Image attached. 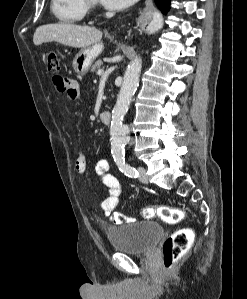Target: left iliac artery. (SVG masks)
<instances>
[{"label":"left iliac artery","mask_w":247,"mask_h":299,"mask_svg":"<svg viewBox=\"0 0 247 299\" xmlns=\"http://www.w3.org/2000/svg\"><path fill=\"white\" fill-rule=\"evenodd\" d=\"M114 161L116 162L120 171H122L126 176L131 177V178L138 177L139 174H138L137 170L125 162L124 154L117 155L116 157H114Z\"/></svg>","instance_id":"1"}]
</instances>
